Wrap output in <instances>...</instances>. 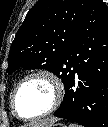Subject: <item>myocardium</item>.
I'll return each instance as SVG.
<instances>
[{
	"instance_id": "f54148a6",
	"label": "myocardium",
	"mask_w": 108,
	"mask_h": 127,
	"mask_svg": "<svg viewBox=\"0 0 108 127\" xmlns=\"http://www.w3.org/2000/svg\"><path fill=\"white\" fill-rule=\"evenodd\" d=\"M34 78H43L51 85L53 90V100L50 107L44 112H42L41 114L32 116V117H24L20 115L19 112L17 111L15 99L21 87L26 82ZM63 96H64V88H63V84L61 80L51 71L40 69V70H36V71L28 73L18 82V84L16 85L11 95V108L14 115H16L19 119L24 121H34V120H38L43 117H46L50 115L51 113H53L60 106L63 100Z\"/></svg>"
}]
</instances>
